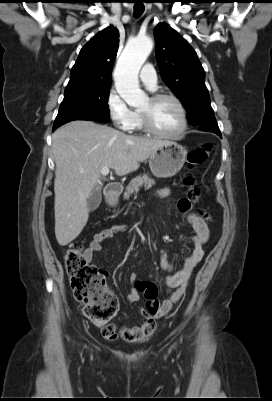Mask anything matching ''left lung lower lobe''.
I'll use <instances>...</instances> for the list:
<instances>
[{
    "mask_svg": "<svg viewBox=\"0 0 272 401\" xmlns=\"http://www.w3.org/2000/svg\"><path fill=\"white\" fill-rule=\"evenodd\" d=\"M198 127L202 131L213 132V133L217 134L218 136L222 137L219 127L217 125V122L200 125Z\"/></svg>",
    "mask_w": 272,
    "mask_h": 401,
    "instance_id": "left-lung-lower-lobe-1",
    "label": "left lung lower lobe"
}]
</instances>
